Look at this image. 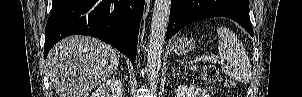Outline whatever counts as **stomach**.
Wrapping results in <instances>:
<instances>
[{
  "label": "stomach",
  "instance_id": "stomach-1",
  "mask_svg": "<svg viewBox=\"0 0 302 97\" xmlns=\"http://www.w3.org/2000/svg\"><path fill=\"white\" fill-rule=\"evenodd\" d=\"M195 48L193 38L177 37L172 40L171 51L177 55H185Z\"/></svg>",
  "mask_w": 302,
  "mask_h": 97
}]
</instances>
